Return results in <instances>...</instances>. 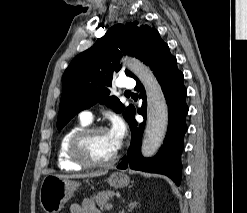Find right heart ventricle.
<instances>
[{"label": "right heart ventricle", "mask_w": 247, "mask_h": 213, "mask_svg": "<svg viewBox=\"0 0 247 213\" xmlns=\"http://www.w3.org/2000/svg\"><path fill=\"white\" fill-rule=\"evenodd\" d=\"M89 122L81 120L67 129L61 136L57 150V165L64 171H80L82 166L75 163L69 154V143L72 136L80 129L87 127Z\"/></svg>", "instance_id": "e07e8e85"}]
</instances>
